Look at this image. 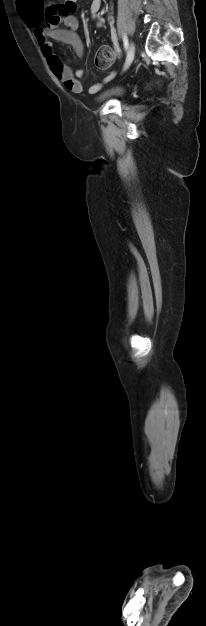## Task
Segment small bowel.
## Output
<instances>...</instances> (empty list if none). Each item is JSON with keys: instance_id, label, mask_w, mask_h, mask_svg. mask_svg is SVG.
<instances>
[{"instance_id": "c3829d8e", "label": "small bowel", "mask_w": 206, "mask_h": 626, "mask_svg": "<svg viewBox=\"0 0 206 626\" xmlns=\"http://www.w3.org/2000/svg\"><path fill=\"white\" fill-rule=\"evenodd\" d=\"M76 1L65 0L63 3L51 4L46 8L43 7L42 3H36L32 13L27 15L26 22L33 27L34 36L54 75L69 91L79 94L84 90L80 81L84 75V70L73 71L56 55L53 43L49 40L53 39L71 46L78 57L83 55V43L76 32L78 28V20L74 15L77 10ZM100 7L101 0H92L90 13L97 20V26L103 27L104 23L98 19ZM113 45L116 52H119L116 41L113 42ZM113 76L111 74L102 81L91 85L87 92L89 94L98 92L103 84L111 80Z\"/></svg>"}]
</instances>
